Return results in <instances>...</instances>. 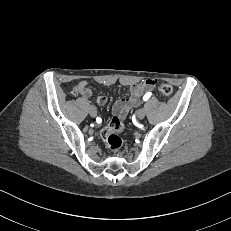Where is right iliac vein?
I'll return each mask as SVG.
<instances>
[{"mask_svg": "<svg viewBox=\"0 0 231 231\" xmlns=\"http://www.w3.org/2000/svg\"><path fill=\"white\" fill-rule=\"evenodd\" d=\"M89 114H90V116L92 117V118H94V117H96V115H97V110H96V108H95V106H90L89 107Z\"/></svg>", "mask_w": 231, "mask_h": 231, "instance_id": "right-iliac-vein-1", "label": "right iliac vein"}]
</instances>
